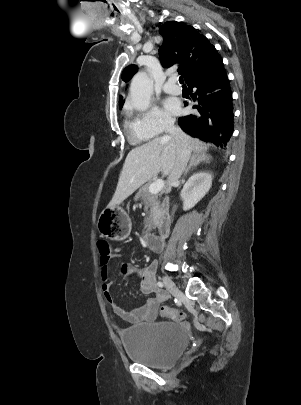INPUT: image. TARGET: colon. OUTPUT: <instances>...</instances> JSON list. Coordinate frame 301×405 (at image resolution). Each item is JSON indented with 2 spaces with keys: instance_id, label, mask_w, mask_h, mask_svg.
Masks as SVG:
<instances>
[{
  "instance_id": "5ec220e1",
  "label": "colon",
  "mask_w": 301,
  "mask_h": 405,
  "mask_svg": "<svg viewBox=\"0 0 301 405\" xmlns=\"http://www.w3.org/2000/svg\"><path fill=\"white\" fill-rule=\"evenodd\" d=\"M98 250L102 257H108L111 253V247L108 242L104 240H100L97 243ZM160 313L163 317L169 318L176 322H181L185 319L186 315L183 311L169 308L167 306H163L160 309Z\"/></svg>"
}]
</instances>
